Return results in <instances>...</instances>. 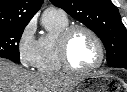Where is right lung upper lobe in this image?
<instances>
[{
    "mask_svg": "<svg viewBox=\"0 0 127 92\" xmlns=\"http://www.w3.org/2000/svg\"><path fill=\"white\" fill-rule=\"evenodd\" d=\"M43 0H0V27L25 26Z\"/></svg>",
    "mask_w": 127,
    "mask_h": 92,
    "instance_id": "1",
    "label": "right lung upper lobe"
}]
</instances>
